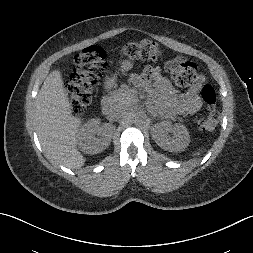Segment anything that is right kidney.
<instances>
[{
  "mask_svg": "<svg viewBox=\"0 0 253 253\" xmlns=\"http://www.w3.org/2000/svg\"><path fill=\"white\" fill-rule=\"evenodd\" d=\"M113 130L110 126H100L99 121L93 119L79 129L76 136L77 144L86 154L100 153L109 146ZM96 134L100 138H96Z\"/></svg>",
  "mask_w": 253,
  "mask_h": 253,
  "instance_id": "ca27d5eb",
  "label": "right kidney"
}]
</instances>
